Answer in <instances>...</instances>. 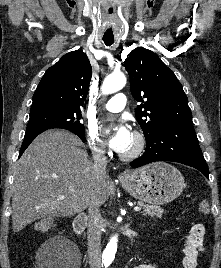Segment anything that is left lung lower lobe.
I'll use <instances>...</instances> for the list:
<instances>
[{
    "mask_svg": "<svg viewBox=\"0 0 221 268\" xmlns=\"http://www.w3.org/2000/svg\"><path fill=\"white\" fill-rule=\"evenodd\" d=\"M156 161H173L192 166L209 179V169L192 125L160 129L146 141L144 154L132 161L131 166L138 168Z\"/></svg>",
    "mask_w": 221,
    "mask_h": 268,
    "instance_id": "1",
    "label": "left lung lower lobe"
}]
</instances>
